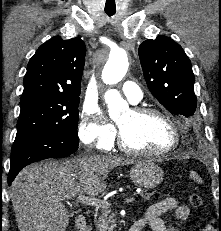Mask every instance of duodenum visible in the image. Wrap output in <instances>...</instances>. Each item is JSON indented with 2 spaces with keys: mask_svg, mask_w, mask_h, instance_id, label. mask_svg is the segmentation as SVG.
<instances>
[{
  "mask_svg": "<svg viewBox=\"0 0 221 231\" xmlns=\"http://www.w3.org/2000/svg\"><path fill=\"white\" fill-rule=\"evenodd\" d=\"M75 225L78 231H86L87 230V219L83 214H79L75 217ZM128 231H141L140 226L137 222H135Z\"/></svg>",
  "mask_w": 221,
  "mask_h": 231,
  "instance_id": "1",
  "label": "duodenum"
}]
</instances>
